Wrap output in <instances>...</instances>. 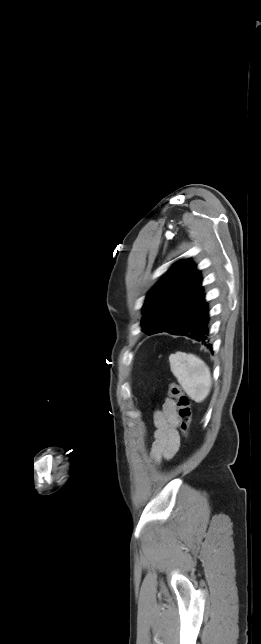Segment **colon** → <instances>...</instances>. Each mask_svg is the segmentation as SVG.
Wrapping results in <instances>:
<instances>
[{
	"mask_svg": "<svg viewBox=\"0 0 261 644\" xmlns=\"http://www.w3.org/2000/svg\"><path fill=\"white\" fill-rule=\"evenodd\" d=\"M169 394L175 400L180 430L184 436H187L192 420L190 400L177 383L170 384Z\"/></svg>",
	"mask_w": 261,
	"mask_h": 644,
	"instance_id": "1",
	"label": "colon"
}]
</instances>
